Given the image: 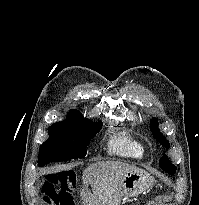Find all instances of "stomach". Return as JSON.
<instances>
[{"label":"stomach","instance_id":"obj_1","mask_svg":"<svg viewBox=\"0 0 199 205\" xmlns=\"http://www.w3.org/2000/svg\"><path fill=\"white\" fill-rule=\"evenodd\" d=\"M153 184V178L145 171L128 173L122 181V197L129 198L139 195L150 189Z\"/></svg>","mask_w":199,"mask_h":205}]
</instances>
